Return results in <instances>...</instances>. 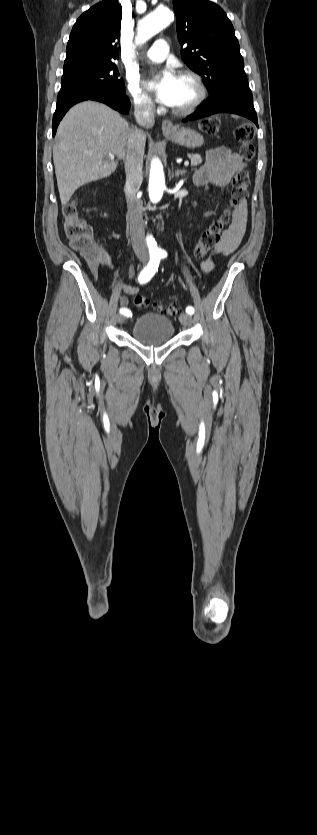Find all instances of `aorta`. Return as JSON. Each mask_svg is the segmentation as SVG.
I'll return each mask as SVG.
<instances>
[{
	"mask_svg": "<svg viewBox=\"0 0 317 835\" xmlns=\"http://www.w3.org/2000/svg\"><path fill=\"white\" fill-rule=\"evenodd\" d=\"M174 20V14L168 7H158L140 19L136 37L137 44H144L154 35L159 33L163 27ZM165 188V175L163 165L158 158H153L149 174V197L153 203L161 200ZM150 242L155 244L153 237Z\"/></svg>",
	"mask_w": 317,
	"mask_h": 835,
	"instance_id": "762f6f07",
	"label": "aorta"
}]
</instances>
